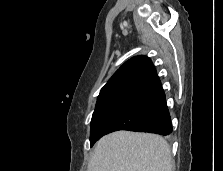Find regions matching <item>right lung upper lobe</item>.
I'll use <instances>...</instances> for the list:
<instances>
[{
  "instance_id": "1",
  "label": "right lung upper lobe",
  "mask_w": 223,
  "mask_h": 171,
  "mask_svg": "<svg viewBox=\"0 0 223 171\" xmlns=\"http://www.w3.org/2000/svg\"><path fill=\"white\" fill-rule=\"evenodd\" d=\"M160 80L148 57L136 56L125 62L101 89L98 100L113 96L138 97Z\"/></svg>"
}]
</instances>
